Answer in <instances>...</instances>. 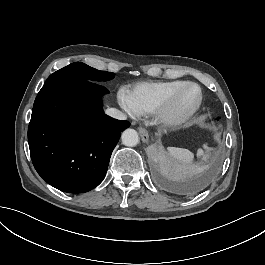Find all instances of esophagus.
<instances>
[{
	"instance_id": "34e87169",
	"label": "esophagus",
	"mask_w": 265,
	"mask_h": 265,
	"mask_svg": "<svg viewBox=\"0 0 265 265\" xmlns=\"http://www.w3.org/2000/svg\"><path fill=\"white\" fill-rule=\"evenodd\" d=\"M138 132H139L143 142H147L149 140L148 131L144 127H139Z\"/></svg>"
}]
</instances>
